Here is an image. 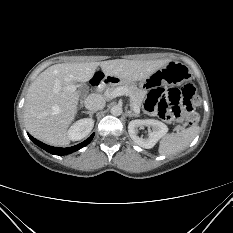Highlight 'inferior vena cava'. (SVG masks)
<instances>
[{
    "label": "inferior vena cava",
    "instance_id": "inferior-vena-cava-1",
    "mask_svg": "<svg viewBox=\"0 0 233 233\" xmlns=\"http://www.w3.org/2000/svg\"><path fill=\"white\" fill-rule=\"evenodd\" d=\"M86 109L90 111L102 110L105 107V99L98 94H91L84 101Z\"/></svg>",
    "mask_w": 233,
    "mask_h": 233
}]
</instances>
